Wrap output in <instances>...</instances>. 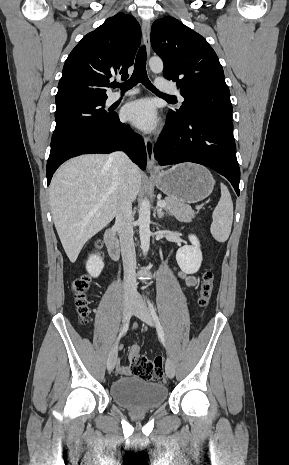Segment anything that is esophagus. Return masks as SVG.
<instances>
[{
    "label": "esophagus",
    "instance_id": "34e87169",
    "mask_svg": "<svg viewBox=\"0 0 289 465\" xmlns=\"http://www.w3.org/2000/svg\"><path fill=\"white\" fill-rule=\"evenodd\" d=\"M150 27V22L148 20H144L142 23V36L148 56L150 55ZM144 143L147 155V170L155 171L157 170V166L154 157V143L150 137H145Z\"/></svg>",
    "mask_w": 289,
    "mask_h": 465
}]
</instances>
